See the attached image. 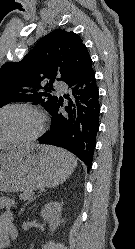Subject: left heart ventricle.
Wrapping results in <instances>:
<instances>
[{
    "label": "left heart ventricle",
    "instance_id": "left-heart-ventricle-1",
    "mask_svg": "<svg viewBox=\"0 0 135 249\" xmlns=\"http://www.w3.org/2000/svg\"><path fill=\"white\" fill-rule=\"evenodd\" d=\"M37 129V119L24 109H9L0 113V140L32 135Z\"/></svg>",
    "mask_w": 135,
    "mask_h": 249
}]
</instances>
